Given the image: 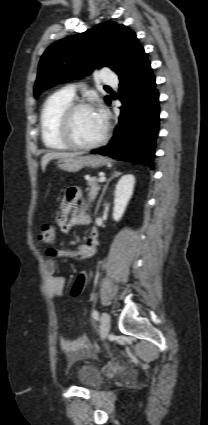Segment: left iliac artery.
Masks as SVG:
<instances>
[{
	"instance_id": "obj_1",
	"label": "left iliac artery",
	"mask_w": 208,
	"mask_h": 425,
	"mask_svg": "<svg viewBox=\"0 0 208 425\" xmlns=\"http://www.w3.org/2000/svg\"><path fill=\"white\" fill-rule=\"evenodd\" d=\"M92 316L95 320H99V313L96 310L93 311Z\"/></svg>"
}]
</instances>
